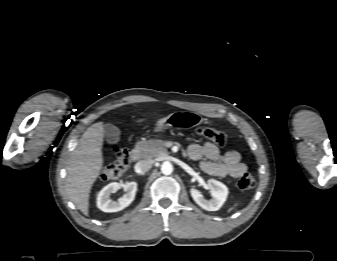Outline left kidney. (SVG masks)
<instances>
[{
  "instance_id": "obj_1",
  "label": "left kidney",
  "mask_w": 337,
  "mask_h": 261,
  "mask_svg": "<svg viewBox=\"0 0 337 261\" xmlns=\"http://www.w3.org/2000/svg\"><path fill=\"white\" fill-rule=\"evenodd\" d=\"M208 188L210 189L212 198L206 200L200 191L191 189V196L193 200L204 210L217 211L221 208L228 196V188L221 182L209 179Z\"/></svg>"
}]
</instances>
